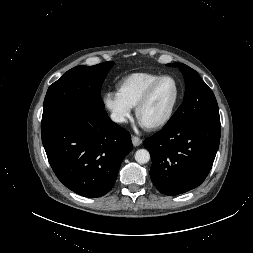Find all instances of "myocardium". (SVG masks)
<instances>
[{
    "instance_id": "1",
    "label": "myocardium",
    "mask_w": 253,
    "mask_h": 253,
    "mask_svg": "<svg viewBox=\"0 0 253 253\" xmlns=\"http://www.w3.org/2000/svg\"><path fill=\"white\" fill-rule=\"evenodd\" d=\"M172 79L175 84H176V96L175 99L167 113V115L160 120L159 122L152 124V125H142L146 130L148 131H157L160 130L162 128H164L173 118L174 113L176 111V108L179 104L180 98H181V86L180 83L178 81V79L176 77H174L173 75H161L157 80H155L145 91V93L142 95V97L140 98V100L138 101V103L135 106V117L136 119L139 121V115L140 112L142 111V109L146 106V104L149 102V100L151 99L154 91L156 90V88L158 87V85L164 80V79ZM140 122V121H139Z\"/></svg>"
}]
</instances>
